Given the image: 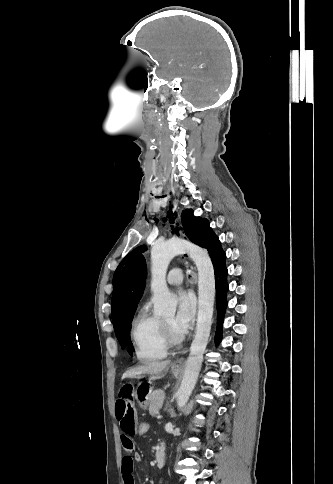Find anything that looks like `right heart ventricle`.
<instances>
[{
	"label": "right heart ventricle",
	"instance_id": "e07e8e85",
	"mask_svg": "<svg viewBox=\"0 0 333 484\" xmlns=\"http://www.w3.org/2000/svg\"><path fill=\"white\" fill-rule=\"evenodd\" d=\"M132 339L137 358L144 363L163 359L167 355L161 319L143 305L132 322Z\"/></svg>",
	"mask_w": 333,
	"mask_h": 484
}]
</instances>
